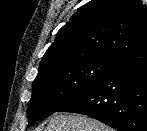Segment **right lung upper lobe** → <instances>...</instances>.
Returning a JSON list of instances; mask_svg holds the SVG:
<instances>
[{"label":"right lung upper lobe","instance_id":"right-lung-upper-lobe-1","mask_svg":"<svg viewBox=\"0 0 147 131\" xmlns=\"http://www.w3.org/2000/svg\"><path fill=\"white\" fill-rule=\"evenodd\" d=\"M145 44L147 8L141 0H92L59 30L38 74L88 57L118 62Z\"/></svg>","mask_w":147,"mask_h":131}]
</instances>
